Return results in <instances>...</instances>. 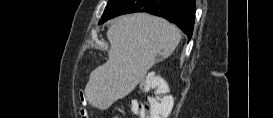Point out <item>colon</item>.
Masks as SVG:
<instances>
[{"instance_id": "1", "label": "colon", "mask_w": 273, "mask_h": 118, "mask_svg": "<svg viewBox=\"0 0 273 118\" xmlns=\"http://www.w3.org/2000/svg\"><path fill=\"white\" fill-rule=\"evenodd\" d=\"M154 82L151 79L145 80L146 88H153ZM163 91L162 87L158 88ZM173 107V98L170 95L157 94L147 97L143 101L135 100L132 102V110L143 118H163L167 117ZM86 118V117H82Z\"/></svg>"}]
</instances>
